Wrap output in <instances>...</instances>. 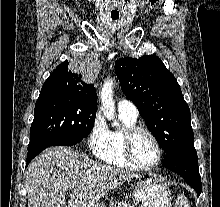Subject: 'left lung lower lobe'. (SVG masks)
<instances>
[{"label": "left lung lower lobe", "instance_id": "1", "mask_svg": "<svg viewBox=\"0 0 220 207\" xmlns=\"http://www.w3.org/2000/svg\"><path fill=\"white\" fill-rule=\"evenodd\" d=\"M164 167L174 171L196 190L197 196L202 190L201 177L198 170V156L194 143L180 150L166 154Z\"/></svg>", "mask_w": 220, "mask_h": 207}]
</instances>
